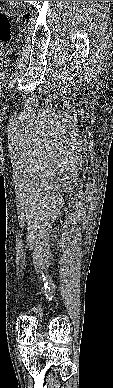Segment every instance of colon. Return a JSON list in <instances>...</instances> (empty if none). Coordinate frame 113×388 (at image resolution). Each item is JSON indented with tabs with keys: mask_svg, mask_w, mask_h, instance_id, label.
I'll use <instances>...</instances> for the list:
<instances>
[{
	"mask_svg": "<svg viewBox=\"0 0 113 388\" xmlns=\"http://www.w3.org/2000/svg\"><path fill=\"white\" fill-rule=\"evenodd\" d=\"M11 23L8 14L0 10V49L4 43H7L11 39Z\"/></svg>",
	"mask_w": 113,
	"mask_h": 388,
	"instance_id": "1",
	"label": "colon"
}]
</instances>
